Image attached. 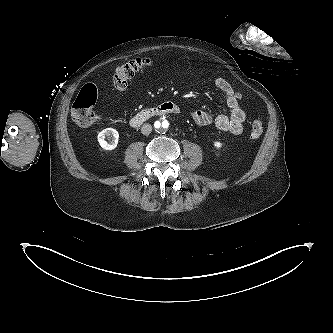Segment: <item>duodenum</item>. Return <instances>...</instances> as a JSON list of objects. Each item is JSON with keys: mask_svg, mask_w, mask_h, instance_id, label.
Returning <instances> with one entry per match:
<instances>
[{"mask_svg": "<svg viewBox=\"0 0 333 333\" xmlns=\"http://www.w3.org/2000/svg\"><path fill=\"white\" fill-rule=\"evenodd\" d=\"M180 112L179 106L174 102H164L160 105H157L155 107L146 108L137 114H135L131 120L130 125L132 127H139L147 120L162 116L166 114H178Z\"/></svg>", "mask_w": 333, "mask_h": 333, "instance_id": "410a0bca", "label": "duodenum"}]
</instances>
